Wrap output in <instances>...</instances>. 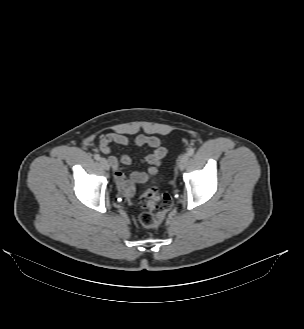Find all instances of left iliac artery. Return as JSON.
Instances as JSON below:
<instances>
[{
  "mask_svg": "<svg viewBox=\"0 0 304 329\" xmlns=\"http://www.w3.org/2000/svg\"><path fill=\"white\" fill-rule=\"evenodd\" d=\"M194 154V149L193 148H190L189 150H188V155L189 156H192Z\"/></svg>",
  "mask_w": 304,
  "mask_h": 329,
  "instance_id": "1",
  "label": "left iliac artery"
}]
</instances>
